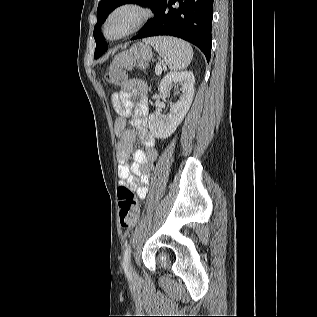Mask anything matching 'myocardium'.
I'll return each mask as SVG.
<instances>
[{
    "mask_svg": "<svg viewBox=\"0 0 317 317\" xmlns=\"http://www.w3.org/2000/svg\"><path fill=\"white\" fill-rule=\"evenodd\" d=\"M129 12L133 15V18L129 25L121 33L110 36L108 34V26L110 22L119 14ZM151 16V12L142 4L134 1H125L116 5L113 9L107 14L104 23H103V36L110 41H115L123 39L138 30H140L148 21Z\"/></svg>",
    "mask_w": 317,
    "mask_h": 317,
    "instance_id": "f54148a6",
    "label": "myocardium"
}]
</instances>
